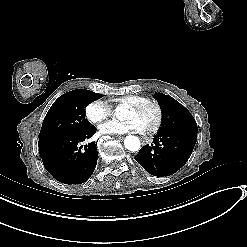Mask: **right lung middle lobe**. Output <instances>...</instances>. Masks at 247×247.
I'll use <instances>...</instances> for the list:
<instances>
[{"mask_svg":"<svg viewBox=\"0 0 247 247\" xmlns=\"http://www.w3.org/2000/svg\"><path fill=\"white\" fill-rule=\"evenodd\" d=\"M102 94L86 89H76L60 96L47 112L39 139L49 135L79 133L91 125L85 119V108Z\"/></svg>","mask_w":247,"mask_h":247,"instance_id":"1","label":"right lung middle lobe"}]
</instances>
